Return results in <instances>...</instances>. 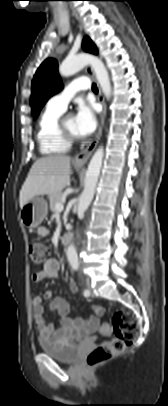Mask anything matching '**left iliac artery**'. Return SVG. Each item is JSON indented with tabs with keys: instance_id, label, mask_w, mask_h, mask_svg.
Instances as JSON below:
<instances>
[{
	"instance_id": "1",
	"label": "left iliac artery",
	"mask_w": 168,
	"mask_h": 406,
	"mask_svg": "<svg viewBox=\"0 0 168 406\" xmlns=\"http://www.w3.org/2000/svg\"><path fill=\"white\" fill-rule=\"evenodd\" d=\"M83 294H84V296L88 297V296L90 295V291L87 290V289H85V290L83 291Z\"/></svg>"
}]
</instances>
